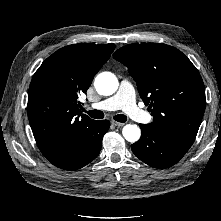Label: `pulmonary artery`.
I'll use <instances>...</instances> for the list:
<instances>
[{
	"instance_id": "e3ab8cb5",
	"label": "pulmonary artery",
	"mask_w": 221,
	"mask_h": 221,
	"mask_svg": "<svg viewBox=\"0 0 221 221\" xmlns=\"http://www.w3.org/2000/svg\"><path fill=\"white\" fill-rule=\"evenodd\" d=\"M92 108L101 111L122 109L131 119L140 123H147L152 120L151 115L136 104L134 89L126 80L121 82L116 95L92 104Z\"/></svg>"
}]
</instances>
